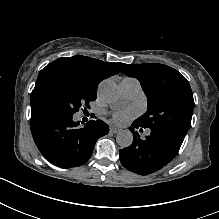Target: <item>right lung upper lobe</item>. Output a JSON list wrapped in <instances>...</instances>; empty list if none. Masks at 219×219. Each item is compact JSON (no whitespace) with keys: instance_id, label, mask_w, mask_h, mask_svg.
I'll return each instance as SVG.
<instances>
[{"instance_id":"right-lung-upper-lobe-1","label":"right lung upper lobe","mask_w":219,"mask_h":219,"mask_svg":"<svg viewBox=\"0 0 219 219\" xmlns=\"http://www.w3.org/2000/svg\"><path fill=\"white\" fill-rule=\"evenodd\" d=\"M123 63L103 62L87 56L61 57L45 68L60 67L80 76L89 86H96L104 79L120 72Z\"/></svg>"}]
</instances>
